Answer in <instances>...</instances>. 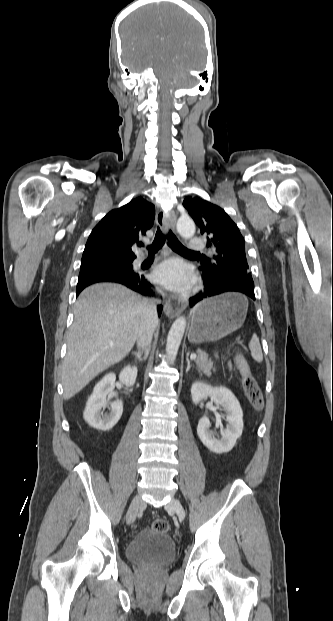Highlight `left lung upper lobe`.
<instances>
[{"label": "left lung upper lobe", "instance_id": "left-lung-upper-lobe-1", "mask_svg": "<svg viewBox=\"0 0 333 621\" xmlns=\"http://www.w3.org/2000/svg\"><path fill=\"white\" fill-rule=\"evenodd\" d=\"M183 206L207 235V244L214 254L201 261L202 272H209L214 279L238 274L251 276L245 254L244 238L237 225L219 206L200 197H186Z\"/></svg>", "mask_w": 333, "mask_h": 621}]
</instances>
